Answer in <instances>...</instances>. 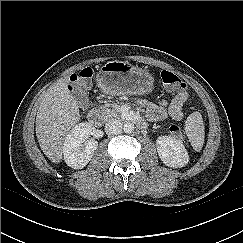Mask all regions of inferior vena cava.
I'll list each match as a JSON object with an SVG mask.
<instances>
[{"mask_svg":"<svg viewBox=\"0 0 243 243\" xmlns=\"http://www.w3.org/2000/svg\"><path fill=\"white\" fill-rule=\"evenodd\" d=\"M105 132L108 135H118L122 132V123L118 119H109L105 124Z\"/></svg>","mask_w":243,"mask_h":243,"instance_id":"inferior-vena-cava-1","label":"inferior vena cava"}]
</instances>
